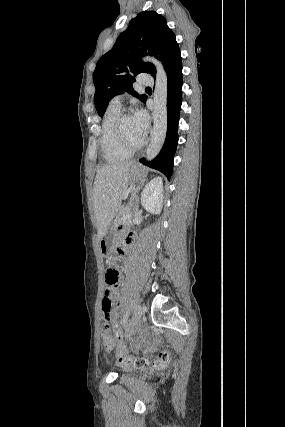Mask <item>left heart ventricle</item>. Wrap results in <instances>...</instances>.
<instances>
[{"instance_id": "b2bd125f", "label": "left heart ventricle", "mask_w": 285, "mask_h": 427, "mask_svg": "<svg viewBox=\"0 0 285 427\" xmlns=\"http://www.w3.org/2000/svg\"><path fill=\"white\" fill-rule=\"evenodd\" d=\"M123 132L126 139L131 144L140 143L143 138L141 137L138 128L136 126L135 120L132 116L127 117L123 122Z\"/></svg>"}]
</instances>
